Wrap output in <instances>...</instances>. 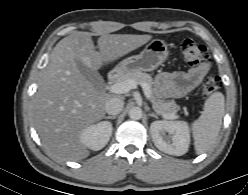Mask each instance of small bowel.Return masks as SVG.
<instances>
[{
  "mask_svg": "<svg viewBox=\"0 0 248 195\" xmlns=\"http://www.w3.org/2000/svg\"><path fill=\"white\" fill-rule=\"evenodd\" d=\"M209 69V64L202 63L186 72L161 73L157 78V84L166 97L180 98L194 91Z\"/></svg>",
  "mask_w": 248,
  "mask_h": 195,
  "instance_id": "obj_1",
  "label": "small bowel"
}]
</instances>
